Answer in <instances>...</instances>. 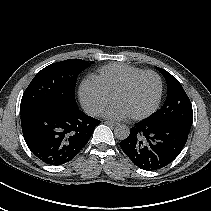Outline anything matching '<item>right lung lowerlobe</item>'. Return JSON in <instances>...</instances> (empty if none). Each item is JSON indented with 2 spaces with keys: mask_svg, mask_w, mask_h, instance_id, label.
Here are the masks:
<instances>
[{
  "mask_svg": "<svg viewBox=\"0 0 211 211\" xmlns=\"http://www.w3.org/2000/svg\"><path fill=\"white\" fill-rule=\"evenodd\" d=\"M99 123L79 108L47 106L21 112L27 146L41 161L55 166L71 161Z\"/></svg>",
  "mask_w": 211,
  "mask_h": 211,
  "instance_id": "obj_1",
  "label": "right lung lower lobe"
}]
</instances>
